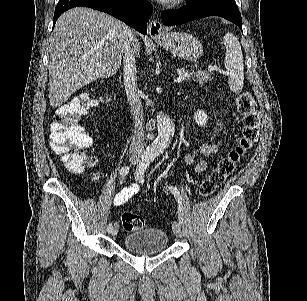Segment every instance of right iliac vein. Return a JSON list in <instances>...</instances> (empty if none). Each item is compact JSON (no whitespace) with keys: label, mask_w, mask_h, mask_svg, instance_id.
Returning <instances> with one entry per match:
<instances>
[{"label":"right iliac vein","mask_w":307,"mask_h":301,"mask_svg":"<svg viewBox=\"0 0 307 301\" xmlns=\"http://www.w3.org/2000/svg\"><path fill=\"white\" fill-rule=\"evenodd\" d=\"M130 160H131L132 164H134V165L138 163V159H137L136 156H132V157L130 158ZM118 230H119L118 224L115 223V224H114V227H113V229H112V231H111L112 235H113V236L117 235Z\"/></svg>","instance_id":"63e3f726"}]
</instances>
